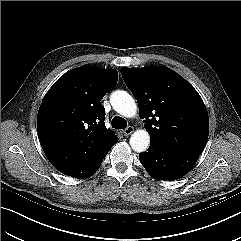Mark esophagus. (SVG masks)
Listing matches in <instances>:
<instances>
[{
	"label": "esophagus",
	"instance_id": "1",
	"mask_svg": "<svg viewBox=\"0 0 241 241\" xmlns=\"http://www.w3.org/2000/svg\"><path fill=\"white\" fill-rule=\"evenodd\" d=\"M134 132V128L132 126H128L124 131V135L125 136H129L130 134H132Z\"/></svg>",
	"mask_w": 241,
	"mask_h": 241
}]
</instances>
